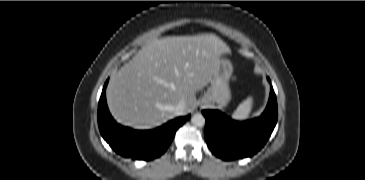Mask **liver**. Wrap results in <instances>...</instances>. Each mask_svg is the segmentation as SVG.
Listing matches in <instances>:
<instances>
[{
	"instance_id": "1",
	"label": "liver",
	"mask_w": 365,
	"mask_h": 180,
	"mask_svg": "<svg viewBox=\"0 0 365 180\" xmlns=\"http://www.w3.org/2000/svg\"><path fill=\"white\" fill-rule=\"evenodd\" d=\"M230 53L215 34L155 39L144 46L110 79L107 104L120 123L149 129L196 106V92L206 86L222 54Z\"/></svg>"
}]
</instances>
